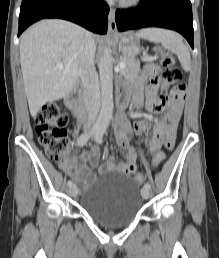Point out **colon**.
Returning <instances> with one entry per match:
<instances>
[{
  "mask_svg": "<svg viewBox=\"0 0 219 258\" xmlns=\"http://www.w3.org/2000/svg\"><path fill=\"white\" fill-rule=\"evenodd\" d=\"M161 65L163 71L161 74V94L166 95L169 87L173 86L171 93L175 96H181L184 93L185 86L182 83L183 74L176 65L175 58L163 49H159ZM36 121L35 132L39 143L42 145L46 155L53 161L72 172V167L65 158L68 146L67 139V115L61 112L57 106L51 103H45L40 110L34 114ZM165 160L163 152H157L153 158L152 165L155 170L159 169ZM135 180L142 183L146 180L143 173L135 174Z\"/></svg>",
  "mask_w": 219,
  "mask_h": 258,
  "instance_id": "5ec220e1",
  "label": "colon"
}]
</instances>
